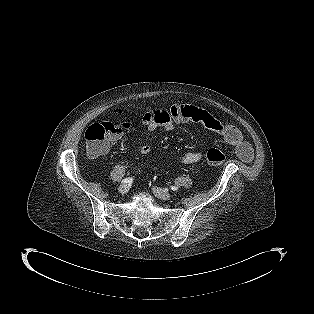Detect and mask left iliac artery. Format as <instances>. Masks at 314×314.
Wrapping results in <instances>:
<instances>
[{
    "mask_svg": "<svg viewBox=\"0 0 314 314\" xmlns=\"http://www.w3.org/2000/svg\"><path fill=\"white\" fill-rule=\"evenodd\" d=\"M171 190L178 191V187L177 186H171Z\"/></svg>",
    "mask_w": 314,
    "mask_h": 314,
    "instance_id": "left-iliac-artery-1",
    "label": "left iliac artery"
}]
</instances>
